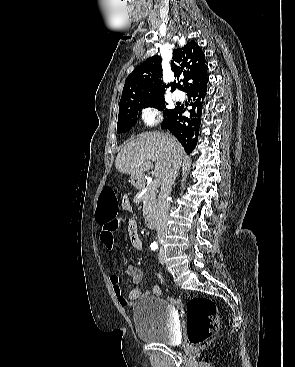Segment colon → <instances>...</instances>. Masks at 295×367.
Wrapping results in <instances>:
<instances>
[{"label": "colon", "instance_id": "1", "mask_svg": "<svg viewBox=\"0 0 295 367\" xmlns=\"http://www.w3.org/2000/svg\"><path fill=\"white\" fill-rule=\"evenodd\" d=\"M118 201L111 187H104L99 197L97 221L107 223L117 218ZM187 335L193 345L208 340L218 330L219 318L214 301L208 297H194L187 303Z\"/></svg>", "mask_w": 295, "mask_h": 367}]
</instances>
